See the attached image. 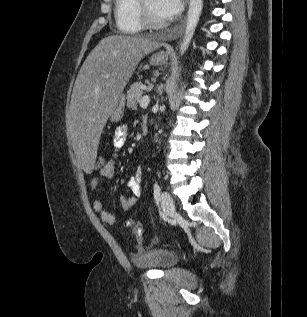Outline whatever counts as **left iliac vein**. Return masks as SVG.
<instances>
[{"label": "left iliac vein", "mask_w": 307, "mask_h": 317, "mask_svg": "<svg viewBox=\"0 0 307 317\" xmlns=\"http://www.w3.org/2000/svg\"><path fill=\"white\" fill-rule=\"evenodd\" d=\"M161 206L166 213V215L170 216L175 212V204L169 193L163 191L161 194Z\"/></svg>", "instance_id": "4c4485c4"}]
</instances>
